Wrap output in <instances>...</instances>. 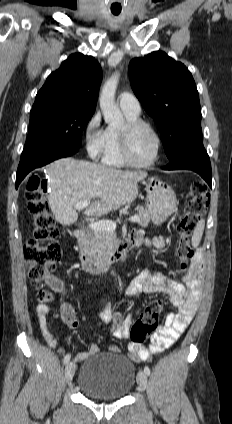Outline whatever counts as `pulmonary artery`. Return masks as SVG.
Instances as JSON below:
<instances>
[{"label": "pulmonary artery", "instance_id": "e3ab8cb5", "mask_svg": "<svg viewBox=\"0 0 232 424\" xmlns=\"http://www.w3.org/2000/svg\"><path fill=\"white\" fill-rule=\"evenodd\" d=\"M118 104L123 112L139 116L141 105L138 99L131 93H122L118 97Z\"/></svg>", "mask_w": 232, "mask_h": 424}]
</instances>
